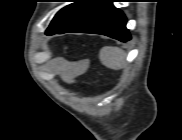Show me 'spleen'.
<instances>
[{"label":"spleen","instance_id":"1","mask_svg":"<svg viewBox=\"0 0 182 140\" xmlns=\"http://www.w3.org/2000/svg\"><path fill=\"white\" fill-rule=\"evenodd\" d=\"M125 52L118 47H103L100 51V60L106 67L114 70L125 65Z\"/></svg>","mask_w":182,"mask_h":140}]
</instances>
